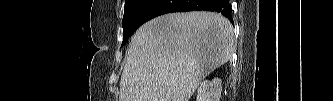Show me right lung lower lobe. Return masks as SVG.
Returning a JSON list of instances; mask_svg holds the SVG:
<instances>
[{"label": "right lung lower lobe", "instance_id": "obj_1", "mask_svg": "<svg viewBox=\"0 0 333 101\" xmlns=\"http://www.w3.org/2000/svg\"><path fill=\"white\" fill-rule=\"evenodd\" d=\"M196 10L221 13L233 23L229 0H147L135 19L134 27L137 30L148 20L166 13Z\"/></svg>", "mask_w": 333, "mask_h": 101}]
</instances>
